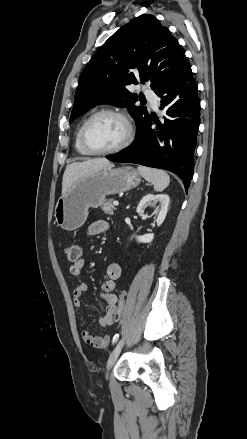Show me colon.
I'll use <instances>...</instances> for the list:
<instances>
[{
  "mask_svg": "<svg viewBox=\"0 0 247 439\" xmlns=\"http://www.w3.org/2000/svg\"><path fill=\"white\" fill-rule=\"evenodd\" d=\"M82 256V248L80 245L78 244H73L72 246H70L67 250V258L69 261L71 262H76L78 261ZM125 309V295L122 294L119 298V300L116 303L115 306V310L113 313V321L116 322L118 321L122 314L123 311Z\"/></svg>",
  "mask_w": 247,
  "mask_h": 439,
  "instance_id": "5ec220e1",
  "label": "colon"
}]
</instances>
